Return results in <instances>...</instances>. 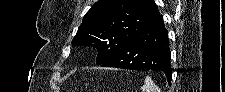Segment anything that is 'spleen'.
<instances>
[{
  "label": "spleen",
  "mask_w": 225,
  "mask_h": 92,
  "mask_svg": "<svg viewBox=\"0 0 225 92\" xmlns=\"http://www.w3.org/2000/svg\"><path fill=\"white\" fill-rule=\"evenodd\" d=\"M142 92H161L158 86L152 81V79L147 76L142 86Z\"/></svg>",
  "instance_id": "spleen-1"
}]
</instances>
